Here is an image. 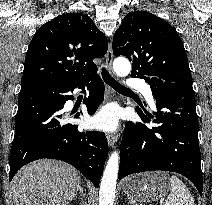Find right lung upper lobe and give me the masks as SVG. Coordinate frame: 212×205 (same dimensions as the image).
<instances>
[{"instance_id":"1","label":"right lung upper lobe","mask_w":212,"mask_h":205,"mask_svg":"<svg viewBox=\"0 0 212 205\" xmlns=\"http://www.w3.org/2000/svg\"><path fill=\"white\" fill-rule=\"evenodd\" d=\"M108 49L105 35L83 13H66L42 25L26 57L21 88L46 81H71L96 74L93 59Z\"/></svg>"}]
</instances>
